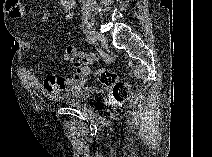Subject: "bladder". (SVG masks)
<instances>
[{
	"label": "bladder",
	"mask_w": 212,
	"mask_h": 157,
	"mask_svg": "<svg viewBox=\"0 0 212 157\" xmlns=\"http://www.w3.org/2000/svg\"><path fill=\"white\" fill-rule=\"evenodd\" d=\"M104 95L100 87H84L76 92L66 94L61 102L81 110L90 111Z\"/></svg>",
	"instance_id": "1"
}]
</instances>
